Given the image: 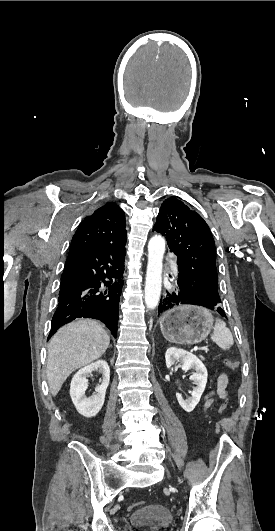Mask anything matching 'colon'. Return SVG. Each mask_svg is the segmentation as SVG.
<instances>
[{
  "mask_svg": "<svg viewBox=\"0 0 275 531\" xmlns=\"http://www.w3.org/2000/svg\"><path fill=\"white\" fill-rule=\"evenodd\" d=\"M224 364L227 368L231 369V370H237L238 367H239V363L238 361L234 360V359H227L224 361ZM229 400L228 398L226 397H223L221 398L219 404H218V407H217V412H216V415L218 417H221L223 414H225L227 412V409L229 407ZM143 505V502L142 501H137L133 504V507H136V506H142Z\"/></svg>",
  "mask_w": 275,
  "mask_h": 531,
  "instance_id": "1",
  "label": "colon"
}]
</instances>
